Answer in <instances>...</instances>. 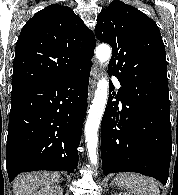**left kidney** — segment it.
<instances>
[{
  "mask_svg": "<svg viewBox=\"0 0 178 195\" xmlns=\"http://www.w3.org/2000/svg\"><path fill=\"white\" fill-rule=\"evenodd\" d=\"M113 195H129V194H124V193H116V194H113Z\"/></svg>",
  "mask_w": 178,
  "mask_h": 195,
  "instance_id": "5707ae66",
  "label": "left kidney"
}]
</instances>
